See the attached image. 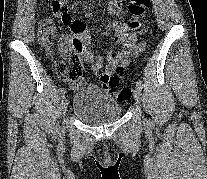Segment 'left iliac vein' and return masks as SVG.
Returning <instances> with one entry per match:
<instances>
[{
	"instance_id": "1",
	"label": "left iliac vein",
	"mask_w": 207,
	"mask_h": 179,
	"mask_svg": "<svg viewBox=\"0 0 207 179\" xmlns=\"http://www.w3.org/2000/svg\"><path fill=\"white\" fill-rule=\"evenodd\" d=\"M134 99H135V101L137 103H140V100H141V90L138 87L135 88Z\"/></svg>"
}]
</instances>
